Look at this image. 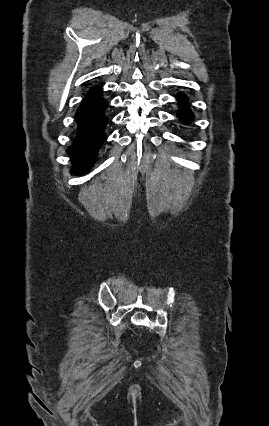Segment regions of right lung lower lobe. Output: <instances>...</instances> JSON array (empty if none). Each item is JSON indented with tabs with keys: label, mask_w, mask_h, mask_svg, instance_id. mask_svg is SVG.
Returning <instances> with one entry per match:
<instances>
[{
	"label": "right lung lower lobe",
	"mask_w": 269,
	"mask_h": 426,
	"mask_svg": "<svg viewBox=\"0 0 269 426\" xmlns=\"http://www.w3.org/2000/svg\"><path fill=\"white\" fill-rule=\"evenodd\" d=\"M101 92L100 87L92 88L76 112L78 133L75 142L69 148L74 162L73 173L81 174L91 167L97 150L106 139L104 128L108 118L104 115V111L108 103L101 96Z\"/></svg>",
	"instance_id": "1"
}]
</instances>
